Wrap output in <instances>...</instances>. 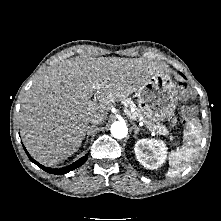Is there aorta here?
Returning a JSON list of instances; mask_svg holds the SVG:
<instances>
[{"instance_id": "aorta-1", "label": "aorta", "mask_w": 221, "mask_h": 221, "mask_svg": "<svg viewBox=\"0 0 221 221\" xmlns=\"http://www.w3.org/2000/svg\"><path fill=\"white\" fill-rule=\"evenodd\" d=\"M111 134L114 138L123 139L128 134V128L124 122L116 121L111 125Z\"/></svg>"}]
</instances>
